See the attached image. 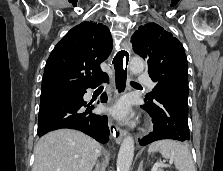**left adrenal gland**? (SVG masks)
Wrapping results in <instances>:
<instances>
[{
	"label": "left adrenal gland",
	"instance_id": "1",
	"mask_svg": "<svg viewBox=\"0 0 223 171\" xmlns=\"http://www.w3.org/2000/svg\"><path fill=\"white\" fill-rule=\"evenodd\" d=\"M137 171H144L143 169V161L140 162L138 170Z\"/></svg>",
	"mask_w": 223,
	"mask_h": 171
}]
</instances>
